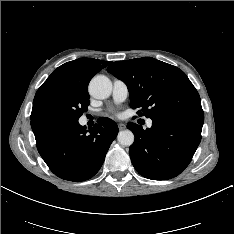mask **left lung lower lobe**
<instances>
[{"label":"left lung lower lobe","mask_w":234,"mask_h":234,"mask_svg":"<svg viewBox=\"0 0 234 234\" xmlns=\"http://www.w3.org/2000/svg\"><path fill=\"white\" fill-rule=\"evenodd\" d=\"M144 130L129 122L135 136L129 154L136 171L145 178L167 180L179 175L190 163L200 141L204 122L202 108L178 111L152 119Z\"/></svg>","instance_id":"left-lung-lower-lobe-1"}]
</instances>
